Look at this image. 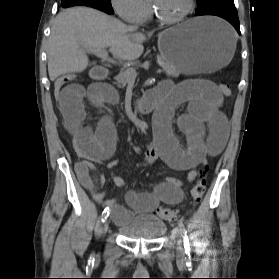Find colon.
Masks as SVG:
<instances>
[{"label": "colon", "mask_w": 279, "mask_h": 279, "mask_svg": "<svg viewBox=\"0 0 279 279\" xmlns=\"http://www.w3.org/2000/svg\"><path fill=\"white\" fill-rule=\"evenodd\" d=\"M70 78L68 76L59 77L54 84V95L58 98L63 90V88L68 84ZM220 91L226 95H231V87L228 83H220ZM206 173L207 167H204L198 171V179L191 190V197L194 203L201 201L205 189H206ZM157 215L168 221H175L177 219V214L168 208H160L156 211Z\"/></svg>", "instance_id": "obj_1"}]
</instances>
